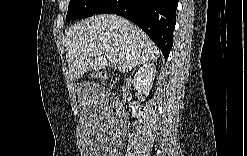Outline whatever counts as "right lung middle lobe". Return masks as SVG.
Instances as JSON below:
<instances>
[{
	"label": "right lung middle lobe",
	"instance_id": "right-lung-middle-lobe-1",
	"mask_svg": "<svg viewBox=\"0 0 247 156\" xmlns=\"http://www.w3.org/2000/svg\"><path fill=\"white\" fill-rule=\"evenodd\" d=\"M107 2V0H70L66 20L90 17Z\"/></svg>",
	"mask_w": 247,
	"mask_h": 156
}]
</instances>
